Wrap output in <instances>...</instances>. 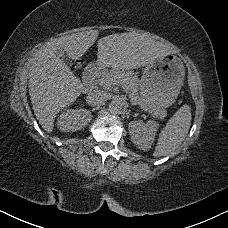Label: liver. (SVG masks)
Masks as SVG:
<instances>
[{"instance_id": "6515ba94", "label": "liver", "mask_w": 228, "mask_h": 228, "mask_svg": "<svg viewBox=\"0 0 228 228\" xmlns=\"http://www.w3.org/2000/svg\"><path fill=\"white\" fill-rule=\"evenodd\" d=\"M99 37V30L82 31L52 40L30 60L29 95L34 116L48 134L55 131L62 111L86 93L83 81L73 74L56 50L63 49L72 60L87 55ZM97 65L113 70H134L156 63L175 51L136 32L113 34L100 39Z\"/></svg>"}]
</instances>
